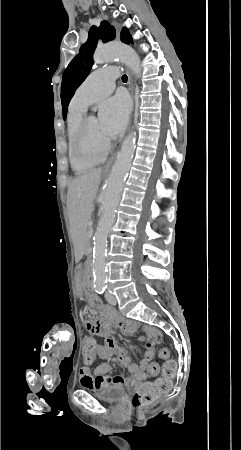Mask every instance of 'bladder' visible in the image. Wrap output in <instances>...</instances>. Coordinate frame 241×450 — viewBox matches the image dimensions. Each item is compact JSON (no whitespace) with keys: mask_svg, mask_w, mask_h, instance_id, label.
Returning a JSON list of instances; mask_svg holds the SVG:
<instances>
[{"mask_svg":"<svg viewBox=\"0 0 241 450\" xmlns=\"http://www.w3.org/2000/svg\"><path fill=\"white\" fill-rule=\"evenodd\" d=\"M95 396L108 402L121 401L125 396V390L121 386L110 385L95 392Z\"/></svg>","mask_w":241,"mask_h":450,"instance_id":"31cf9c89","label":"bladder"}]
</instances>
